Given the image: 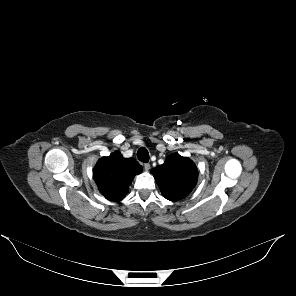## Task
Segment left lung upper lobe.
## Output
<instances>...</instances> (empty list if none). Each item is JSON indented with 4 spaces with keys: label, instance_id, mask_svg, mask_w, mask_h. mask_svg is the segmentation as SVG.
<instances>
[{
    "label": "left lung upper lobe",
    "instance_id": "1",
    "mask_svg": "<svg viewBox=\"0 0 296 296\" xmlns=\"http://www.w3.org/2000/svg\"><path fill=\"white\" fill-rule=\"evenodd\" d=\"M162 195L178 201L190 194L196 185L198 170L194 162L177 153L171 154L164 164L151 170Z\"/></svg>",
    "mask_w": 296,
    "mask_h": 296
}]
</instances>
